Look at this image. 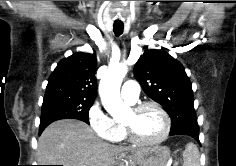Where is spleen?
<instances>
[{
	"label": "spleen",
	"mask_w": 236,
	"mask_h": 166,
	"mask_svg": "<svg viewBox=\"0 0 236 166\" xmlns=\"http://www.w3.org/2000/svg\"><path fill=\"white\" fill-rule=\"evenodd\" d=\"M183 166H200V154L197 146L188 143L183 152Z\"/></svg>",
	"instance_id": "obj_1"
}]
</instances>
